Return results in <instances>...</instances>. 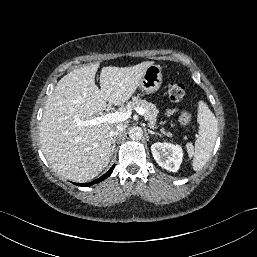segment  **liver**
I'll use <instances>...</instances> for the list:
<instances>
[{
	"instance_id": "liver-1",
	"label": "liver",
	"mask_w": 257,
	"mask_h": 257,
	"mask_svg": "<svg viewBox=\"0 0 257 257\" xmlns=\"http://www.w3.org/2000/svg\"><path fill=\"white\" fill-rule=\"evenodd\" d=\"M153 64L145 61L130 67H103L101 89L95 84L99 63L75 69L59 80L47 99L39 127L42 152L55 172L86 182L108 166L112 151L109 132L116 123L84 126L78 122L105 110L107 102H126Z\"/></svg>"
}]
</instances>
